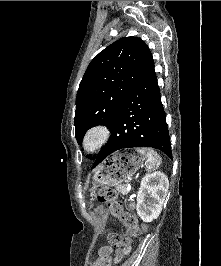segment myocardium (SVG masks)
<instances>
[{
	"label": "myocardium",
	"mask_w": 221,
	"mask_h": 266,
	"mask_svg": "<svg viewBox=\"0 0 221 266\" xmlns=\"http://www.w3.org/2000/svg\"><path fill=\"white\" fill-rule=\"evenodd\" d=\"M110 129L105 125H97L87 131L82 140V150L86 154H94L108 140Z\"/></svg>",
	"instance_id": "1"
}]
</instances>
